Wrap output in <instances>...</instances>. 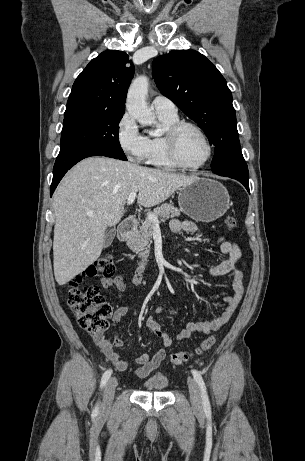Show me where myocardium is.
<instances>
[{
  "mask_svg": "<svg viewBox=\"0 0 305 461\" xmlns=\"http://www.w3.org/2000/svg\"><path fill=\"white\" fill-rule=\"evenodd\" d=\"M185 128H191L195 130L203 139L206 147H207V155L204 158V160L197 164V165H189L185 163L182 158L180 157L179 150H178V142H179V137L181 132ZM165 147L167 154L170 158V160L178 167L190 170V171H195L203 168L211 159L212 154H213V147L212 144L207 136V134L204 132V130L199 127L197 124L189 121H177L173 125H171L165 134Z\"/></svg>",
  "mask_w": 305,
  "mask_h": 461,
  "instance_id": "myocardium-1",
  "label": "myocardium"
}]
</instances>
